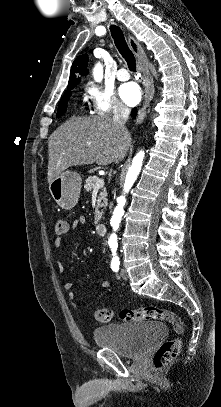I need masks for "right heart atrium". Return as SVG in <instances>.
I'll return each mask as SVG.
<instances>
[{
  "label": "right heart atrium",
  "mask_w": 221,
  "mask_h": 407,
  "mask_svg": "<svg viewBox=\"0 0 221 407\" xmlns=\"http://www.w3.org/2000/svg\"><path fill=\"white\" fill-rule=\"evenodd\" d=\"M90 108L96 114L127 113L128 107L107 88L88 82L84 86Z\"/></svg>",
  "instance_id": "d8ad5b80"
}]
</instances>
